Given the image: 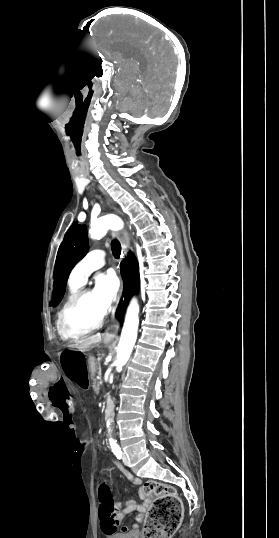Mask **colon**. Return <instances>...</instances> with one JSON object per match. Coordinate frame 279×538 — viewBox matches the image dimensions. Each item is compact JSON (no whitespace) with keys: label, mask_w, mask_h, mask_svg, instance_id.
Returning a JSON list of instances; mask_svg holds the SVG:
<instances>
[{"label":"colon","mask_w":279,"mask_h":538,"mask_svg":"<svg viewBox=\"0 0 279 538\" xmlns=\"http://www.w3.org/2000/svg\"><path fill=\"white\" fill-rule=\"evenodd\" d=\"M143 492L147 496H155L144 526V538H169L182 520L183 507L176 490L166 484L150 481L145 483ZM98 497L100 516L113 517L114 502L110 488L103 478H99Z\"/></svg>","instance_id":"obj_1"}]
</instances>
